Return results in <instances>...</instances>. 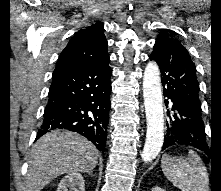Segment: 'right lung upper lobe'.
<instances>
[{"label": "right lung upper lobe", "mask_w": 221, "mask_h": 191, "mask_svg": "<svg viewBox=\"0 0 221 191\" xmlns=\"http://www.w3.org/2000/svg\"><path fill=\"white\" fill-rule=\"evenodd\" d=\"M109 60L103 23L97 21L73 36L62 51L53 74Z\"/></svg>", "instance_id": "1"}]
</instances>
